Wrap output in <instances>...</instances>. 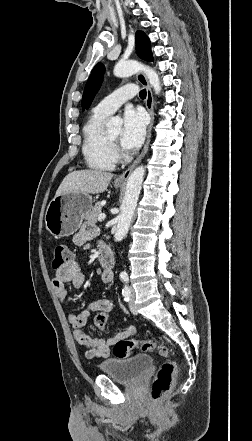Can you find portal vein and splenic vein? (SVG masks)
Segmentation results:
<instances>
[{
  "instance_id": "portal-vein-and-splenic-vein-1",
  "label": "portal vein and splenic vein",
  "mask_w": 252,
  "mask_h": 441,
  "mask_svg": "<svg viewBox=\"0 0 252 441\" xmlns=\"http://www.w3.org/2000/svg\"><path fill=\"white\" fill-rule=\"evenodd\" d=\"M106 218V215L104 213L99 214L98 221L102 222Z\"/></svg>"
}]
</instances>
